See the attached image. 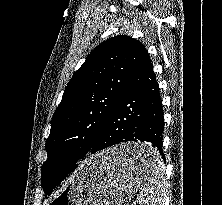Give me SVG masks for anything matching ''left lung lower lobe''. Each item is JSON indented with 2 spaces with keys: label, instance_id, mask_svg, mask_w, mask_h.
Wrapping results in <instances>:
<instances>
[{
  "label": "left lung lower lobe",
  "instance_id": "1",
  "mask_svg": "<svg viewBox=\"0 0 222 205\" xmlns=\"http://www.w3.org/2000/svg\"><path fill=\"white\" fill-rule=\"evenodd\" d=\"M163 128L160 91L151 59L145 50L88 153L94 154L122 142L141 141L151 144L164 159ZM84 156L72 153L60 156L56 163V169L63 175L59 183L75 168L78 159ZM153 158L152 153L138 150L126 156L125 161L135 166H146L151 165Z\"/></svg>",
  "mask_w": 222,
  "mask_h": 205
}]
</instances>
